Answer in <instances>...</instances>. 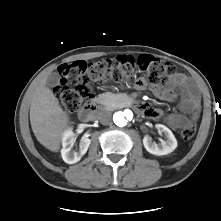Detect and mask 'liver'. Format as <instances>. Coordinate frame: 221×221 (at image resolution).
I'll return each instance as SVG.
<instances>
[{
    "mask_svg": "<svg viewBox=\"0 0 221 221\" xmlns=\"http://www.w3.org/2000/svg\"><path fill=\"white\" fill-rule=\"evenodd\" d=\"M30 123L40 144L50 151L58 152L61 138L69 124V114L61 108L59 100L46 86V77L39 82L33 92Z\"/></svg>",
    "mask_w": 221,
    "mask_h": 221,
    "instance_id": "obj_1",
    "label": "liver"
}]
</instances>
